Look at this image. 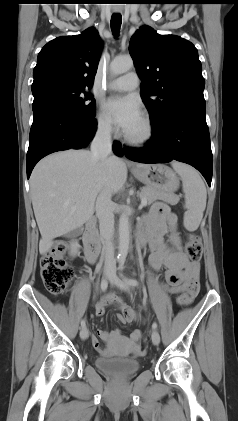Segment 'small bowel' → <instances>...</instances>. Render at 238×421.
Returning <instances> with one entry per match:
<instances>
[{
	"instance_id": "obj_1",
	"label": "small bowel",
	"mask_w": 238,
	"mask_h": 421,
	"mask_svg": "<svg viewBox=\"0 0 238 421\" xmlns=\"http://www.w3.org/2000/svg\"><path fill=\"white\" fill-rule=\"evenodd\" d=\"M177 222V216L168 206L156 204L139 225L141 233L149 243V264L154 271H159L162 267L166 269L165 287L171 294L182 292L188 281L198 280L200 269L199 264L190 261L184 251ZM166 235L169 244L164 240ZM109 306H115L119 310L117 318L122 323L138 319V315L114 293L107 294L97 303L96 314L103 315ZM97 334L101 340L111 345L122 344L129 350H135L136 343L141 338L140 330H134L129 337H124L118 329L98 330ZM91 342L100 354H111V349L102 347L96 336H92Z\"/></svg>"
}]
</instances>
